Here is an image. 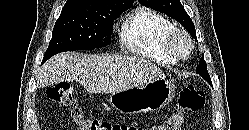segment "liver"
<instances>
[{
  "label": "liver",
  "instance_id": "6515ba94",
  "mask_svg": "<svg viewBox=\"0 0 249 130\" xmlns=\"http://www.w3.org/2000/svg\"><path fill=\"white\" fill-rule=\"evenodd\" d=\"M165 78L154 63L136 56L79 55L65 52L49 59L36 78L39 88L80 82L89 93H116Z\"/></svg>",
  "mask_w": 249,
  "mask_h": 130
}]
</instances>
